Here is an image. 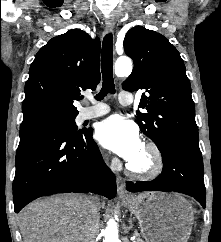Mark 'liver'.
I'll use <instances>...</instances> for the list:
<instances>
[{
	"mask_svg": "<svg viewBox=\"0 0 221 242\" xmlns=\"http://www.w3.org/2000/svg\"><path fill=\"white\" fill-rule=\"evenodd\" d=\"M85 196L61 195L37 200L22 210L19 227L24 242H83ZM99 207L105 202L98 200Z\"/></svg>",
	"mask_w": 221,
	"mask_h": 242,
	"instance_id": "obj_1",
	"label": "liver"
}]
</instances>
